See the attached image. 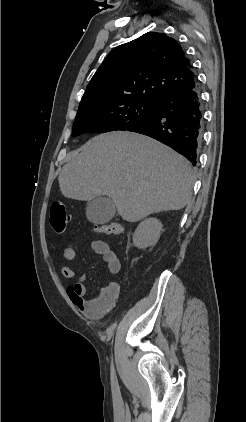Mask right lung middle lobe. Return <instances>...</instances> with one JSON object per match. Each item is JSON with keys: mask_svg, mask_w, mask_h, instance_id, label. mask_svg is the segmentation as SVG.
Returning a JSON list of instances; mask_svg holds the SVG:
<instances>
[{"mask_svg": "<svg viewBox=\"0 0 246 422\" xmlns=\"http://www.w3.org/2000/svg\"><path fill=\"white\" fill-rule=\"evenodd\" d=\"M155 103L134 98L120 97L98 101L79 107L72 136L83 133H105L127 130L153 116Z\"/></svg>", "mask_w": 246, "mask_h": 422, "instance_id": "right-lung-middle-lobe-1", "label": "right lung middle lobe"}]
</instances>
